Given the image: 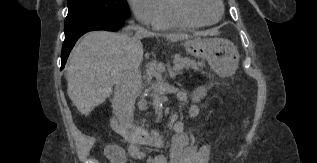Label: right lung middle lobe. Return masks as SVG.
Returning a JSON list of instances; mask_svg holds the SVG:
<instances>
[{
    "mask_svg": "<svg viewBox=\"0 0 317 163\" xmlns=\"http://www.w3.org/2000/svg\"><path fill=\"white\" fill-rule=\"evenodd\" d=\"M130 12L126 0H68L65 33L91 22L105 19H127Z\"/></svg>",
    "mask_w": 317,
    "mask_h": 163,
    "instance_id": "1",
    "label": "right lung middle lobe"
}]
</instances>
